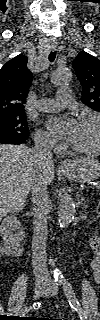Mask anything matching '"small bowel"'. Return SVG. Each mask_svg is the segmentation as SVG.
Wrapping results in <instances>:
<instances>
[{
  "label": "small bowel",
  "mask_w": 100,
  "mask_h": 320,
  "mask_svg": "<svg viewBox=\"0 0 100 320\" xmlns=\"http://www.w3.org/2000/svg\"><path fill=\"white\" fill-rule=\"evenodd\" d=\"M98 247V246H97ZM91 270L93 271L96 281H100V259L95 258L90 264Z\"/></svg>",
  "instance_id": "c3829d8e"
}]
</instances>
